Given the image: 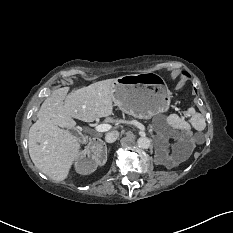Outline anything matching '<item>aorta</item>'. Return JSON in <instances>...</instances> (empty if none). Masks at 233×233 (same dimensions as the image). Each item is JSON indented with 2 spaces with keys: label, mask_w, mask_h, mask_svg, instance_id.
<instances>
[{
  "label": "aorta",
  "mask_w": 233,
  "mask_h": 233,
  "mask_svg": "<svg viewBox=\"0 0 233 233\" xmlns=\"http://www.w3.org/2000/svg\"><path fill=\"white\" fill-rule=\"evenodd\" d=\"M137 145L139 148L148 149L151 145V140L148 137H140L137 140Z\"/></svg>",
  "instance_id": "obj_1"
}]
</instances>
